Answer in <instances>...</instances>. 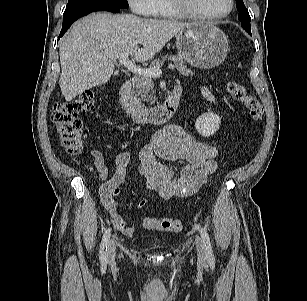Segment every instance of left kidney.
<instances>
[{"mask_svg": "<svg viewBox=\"0 0 307 301\" xmlns=\"http://www.w3.org/2000/svg\"><path fill=\"white\" fill-rule=\"evenodd\" d=\"M220 123L221 119L218 115L207 112L197 118L195 127L203 137H209L219 129Z\"/></svg>", "mask_w": 307, "mask_h": 301, "instance_id": "obj_1", "label": "left kidney"}]
</instances>
